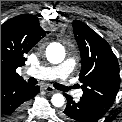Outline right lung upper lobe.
<instances>
[{
    "mask_svg": "<svg viewBox=\"0 0 122 122\" xmlns=\"http://www.w3.org/2000/svg\"><path fill=\"white\" fill-rule=\"evenodd\" d=\"M48 32L33 15L23 14L1 25V83L25 82L16 69L25 64L26 54Z\"/></svg>",
    "mask_w": 122,
    "mask_h": 122,
    "instance_id": "1",
    "label": "right lung upper lobe"
}]
</instances>
